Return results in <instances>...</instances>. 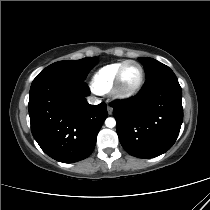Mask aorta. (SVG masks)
<instances>
[{
    "mask_svg": "<svg viewBox=\"0 0 210 210\" xmlns=\"http://www.w3.org/2000/svg\"><path fill=\"white\" fill-rule=\"evenodd\" d=\"M105 125H106L108 128H113V127L116 126V121H115L114 118L109 117V118H107V119L105 120Z\"/></svg>",
    "mask_w": 210,
    "mask_h": 210,
    "instance_id": "1",
    "label": "aorta"
}]
</instances>
